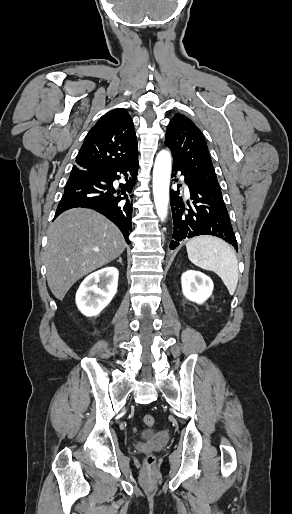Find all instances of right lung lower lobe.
Instances as JSON below:
<instances>
[{
  "instance_id": "obj_1",
  "label": "right lung lower lobe",
  "mask_w": 292,
  "mask_h": 514,
  "mask_svg": "<svg viewBox=\"0 0 292 514\" xmlns=\"http://www.w3.org/2000/svg\"><path fill=\"white\" fill-rule=\"evenodd\" d=\"M137 172L138 157L108 170L72 171L54 219L71 208H90L115 223L130 244L131 192L137 180ZM120 178L125 179L126 183L114 187L113 181Z\"/></svg>"
}]
</instances>
